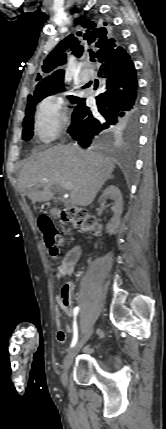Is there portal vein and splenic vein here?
I'll return each mask as SVG.
<instances>
[{"label": "portal vein and splenic vein", "mask_w": 166, "mask_h": 429, "mask_svg": "<svg viewBox=\"0 0 166 429\" xmlns=\"http://www.w3.org/2000/svg\"><path fill=\"white\" fill-rule=\"evenodd\" d=\"M61 186L67 190H70L72 188L71 182H62Z\"/></svg>", "instance_id": "portal-vein-and-splenic-vein-1"}]
</instances>
